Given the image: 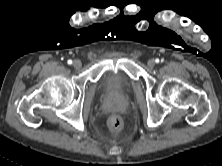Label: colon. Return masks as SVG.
Masks as SVG:
<instances>
[{"instance_id":"5ec220e1","label":"colon","mask_w":222,"mask_h":166,"mask_svg":"<svg viewBox=\"0 0 222 166\" xmlns=\"http://www.w3.org/2000/svg\"><path fill=\"white\" fill-rule=\"evenodd\" d=\"M124 123L119 115H112L108 119V127L112 132L118 133L123 129Z\"/></svg>"}]
</instances>
